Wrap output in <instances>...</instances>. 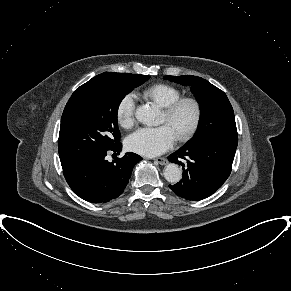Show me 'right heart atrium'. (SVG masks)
Returning <instances> with one entry per match:
<instances>
[{
    "label": "right heart atrium",
    "mask_w": 291,
    "mask_h": 291,
    "mask_svg": "<svg viewBox=\"0 0 291 291\" xmlns=\"http://www.w3.org/2000/svg\"><path fill=\"white\" fill-rule=\"evenodd\" d=\"M136 98L133 93L124 95L116 108V119L118 124L125 128H131L135 123Z\"/></svg>",
    "instance_id": "obj_1"
}]
</instances>
